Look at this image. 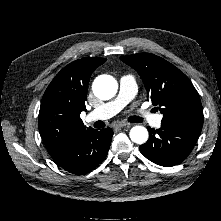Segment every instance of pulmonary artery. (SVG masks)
I'll return each instance as SVG.
<instances>
[{
  "mask_svg": "<svg viewBox=\"0 0 221 221\" xmlns=\"http://www.w3.org/2000/svg\"><path fill=\"white\" fill-rule=\"evenodd\" d=\"M136 82L132 75H124L120 78L119 93L115 99L107 102L90 112L86 120H104L120 112L136 95ZM139 117L147 121L154 127H159L162 121V115H153L149 111H139Z\"/></svg>",
  "mask_w": 221,
  "mask_h": 221,
  "instance_id": "1",
  "label": "pulmonary artery"
}]
</instances>
